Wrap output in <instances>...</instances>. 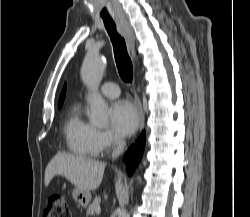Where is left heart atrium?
I'll return each mask as SVG.
<instances>
[{"instance_id":"1","label":"left heart atrium","mask_w":250,"mask_h":217,"mask_svg":"<svg viewBox=\"0 0 250 217\" xmlns=\"http://www.w3.org/2000/svg\"><path fill=\"white\" fill-rule=\"evenodd\" d=\"M110 121L116 133L129 136L137 129L139 117L135 107L129 101L119 100L110 108Z\"/></svg>"}]
</instances>
